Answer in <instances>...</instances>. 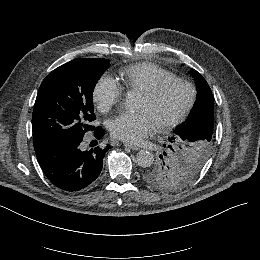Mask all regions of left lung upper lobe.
Returning a JSON list of instances; mask_svg holds the SVG:
<instances>
[{"label": "left lung upper lobe", "mask_w": 260, "mask_h": 260, "mask_svg": "<svg viewBox=\"0 0 260 260\" xmlns=\"http://www.w3.org/2000/svg\"><path fill=\"white\" fill-rule=\"evenodd\" d=\"M191 74L198 94L188 119L175 128L174 135L164 144L163 154L142 171L147 184L164 191L178 190L193 181L210 157L214 143L213 132L192 134V116L197 112L196 108L199 104L214 108V103L212 91L203 76L194 69Z\"/></svg>", "instance_id": "5c2ea615"}]
</instances>
